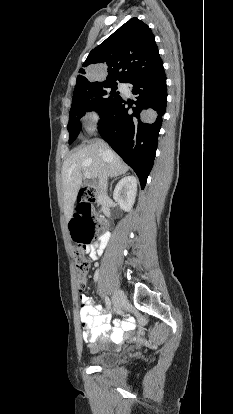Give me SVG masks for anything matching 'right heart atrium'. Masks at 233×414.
I'll return each mask as SVG.
<instances>
[{
  "label": "right heart atrium",
  "instance_id": "obj_1",
  "mask_svg": "<svg viewBox=\"0 0 233 414\" xmlns=\"http://www.w3.org/2000/svg\"><path fill=\"white\" fill-rule=\"evenodd\" d=\"M100 119V114L97 110L91 109L85 113L84 120L88 126L95 125Z\"/></svg>",
  "mask_w": 233,
  "mask_h": 414
}]
</instances>
